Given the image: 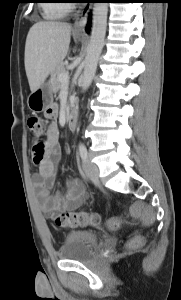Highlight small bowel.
<instances>
[{"mask_svg": "<svg viewBox=\"0 0 181 300\" xmlns=\"http://www.w3.org/2000/svg\"><path fill=\"white\" fill-rule=\"evenodd\" d=\"M45 116L50 121L45 148L42 152L33 150V162L38 169L34 177V187L43 212L49 217H54L59 212L78 208L84 199L85 191L79 180L70 179L66 184L65 194L60 192L50 194V189L56 181V162L59 156V130L56 123L58 106L56 104L49 106Z\"/></svg>", "mask_w": 181, "mask_h": 300, "instance_id": "1", "label": "small bowel"}]
</instances>
